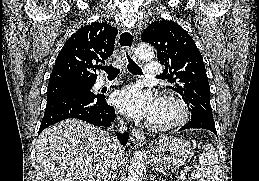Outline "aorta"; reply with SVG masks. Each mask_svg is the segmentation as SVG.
Listing matches in <instances>:
<instances>
[{"label": "aorta", "mask_w": 259, "mask_h": 181, "mask_svg": "<svg viewBox=\"0 0 259 181\" xmlns=\"http://www.w3.org/2000/svg\"><path fill=\"white\" fill-rule=\"evenodd\" d=\"M136 55L143 60H150L154 57L153 49L148 44H140L135 50ZM144 157L143 151L136 150L130 161L128 181H143Z\"/></svg>", "instance_id": "762f6f07"}]
</instances>
